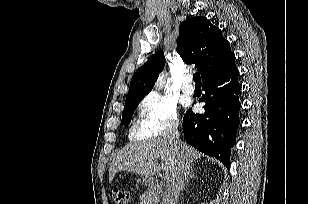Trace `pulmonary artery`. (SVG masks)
<instances>
[{
    "label": "pulmonary artery",
    "instance_id": "obj_1",
    "mask_svg": "<svg viewBox=\"0 0 309 204\" xmlns=\"http://www.w3.org/2000/svg\"><path fill=\"white\" fill-rule=\"evenodd\" d=\"M183 93L187 94V95H191L194 93V86L191 83V78L190 77H186L182 83V87H181Z\"/></svg>",
    "mask_w": 309,
    "mask_h": 204
}]
</instances>
